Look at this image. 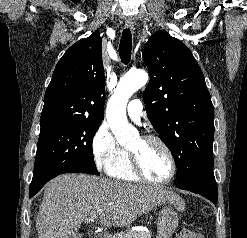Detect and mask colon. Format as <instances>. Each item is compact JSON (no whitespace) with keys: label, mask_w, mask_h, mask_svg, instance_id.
Returning <instances> with one entry per match:
<instances>
[{"label":"colon","mask_w":247,"mask_h":238,"mask_svg":"<svg viewBox=\"0 0 247 238\" xmlns=\"http://www.w3.org/2000/svg\"><path fill=\"white\" fill-rule=\"evenodd\" d=\"M177 238H204L200 233L188 228H180L177 231Z\"/></svg>","instance_id":"colon-1"}]
</instances>
